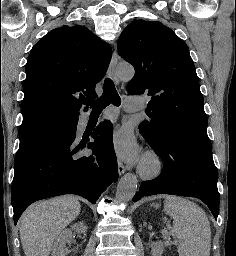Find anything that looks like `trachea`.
Listing matches in <instances>:
<instances>
[{"instance_id":"3493384b","label":"trachea","mask_w":236,"mask_h":256,"mask_svg":"<svg viewBox=\"0 0 236 256\" xmlns=\"http://www.w3.org/2000/svg\"><path fill=\"white\" fill-rule=\"evenodd\" d=\"M92 108V113H101L106 106L112 105L119 106L121 104V98L117 93L114 83L110 78H106L104 85H103V95L91 102L89 100H85Z\"/></svg>"}]
</instances>
